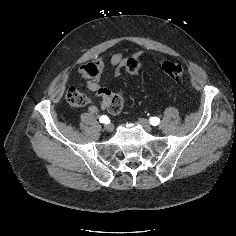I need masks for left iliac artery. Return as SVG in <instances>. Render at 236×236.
I'll return each mask as SVG.
<instances>
[{
  "instance_id": "1",
  "label": "left iliac artery",
  "mask_w": 236,
  "mask_h": 236,
  "mask_svg": "<svg viewBox=\"0 0 236 236\" xmlns=\"http://www.w3.org/2000/svg\"><path fill=\"white\" fill-rule=\"evenodd\" d=\"M149 121L153 126H157L160 123V119L158 117H150Z\"/></svg>"
}]
</instances>
